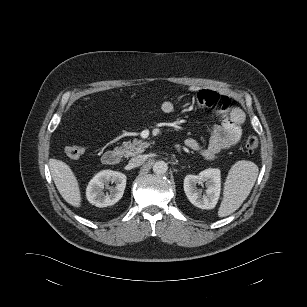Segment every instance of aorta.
Wrapping results in <instances>:
<instances>
[{"label":"aorta","instance_id":"aorta-1","mask_svg":"<svg viewBox=\"0 0 307 307\" xmlns=\"http://www.w3.org/2000/svg\"><path fill=\"white\" fill-rule=\"evenodd\" d=\"M168 170V165L165 161H157L153 165V172L155 174L161 175L165 174Z\"/></svg>","mask_w":307,"mask_h":307}]
</instances>
